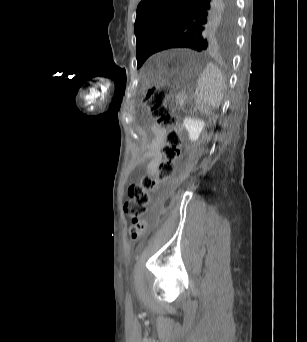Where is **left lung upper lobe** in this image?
<instances>
[{
	"label": "left lung upper lobe",
	"instance_id": "left-lung-upper-lobe-1",
	"mask_svg": "<svg viewBox=\"0 0 307 342\" xmlns=\"http://www.w3.org/2000/svg\"><path fill=\"white\" fill-rule=\"evenodd\" d=\"M234 0H142L137 7V67L169 48L231 52L235 41Z\"/></svg>",
	"mask_w": 307,
	"mask_h": 342
}]
</instances>
